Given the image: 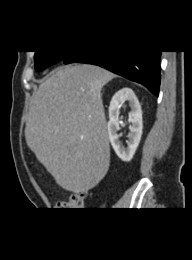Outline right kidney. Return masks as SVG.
Masks as SVG:
<instances>
[{"mask_svg": "<svg viewBox=\"0 0 192 260\" xmlns=\"http://www.w3.org/2000/svg\"><path fill=\"white\" fill-rule=\"evenodd\" d=\"M125 101L129 102L131 111L129 121L131 122L128 134L127 147H123L119 140V106ZM143 129L141 106L134 92L130 88L119 90L112 98L109 106V122L107 132L111 145L117 156L125 162H129L139 145Z\"/></svg>", "mask_w": 192, "mask_h": 260, "instance_id": "obj_1", "label": "right kidney"}]
</instances>
